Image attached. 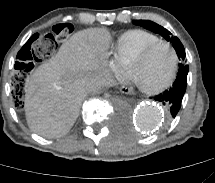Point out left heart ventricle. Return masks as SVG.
<instances>
[{
  "label": "left heart ventricle",
  "mask_w": 215,
  "mask_h": 183,
  "mask_svg": "<svg viewBox=\"0 0 215 183\" xmlns=\"http://www.w3.org/2000/svg\"><path fill=\"white\" fill-rule=\"evenodd\" d=\"M174 68V57L170 49L161 45L134 67L137 82L144 88H156L164 84L171 76Z\"/></svg>",
  "instance_id": "b2bd125f"
}]
</instances>
